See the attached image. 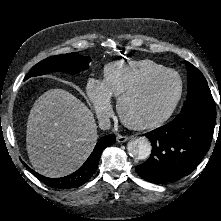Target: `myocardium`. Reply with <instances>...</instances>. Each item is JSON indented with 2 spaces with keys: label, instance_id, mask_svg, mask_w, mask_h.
Instances as JSON below:
<instances>
[{
  "label": "myocardium",
  "instance_id": "obj_1",
  "mask_svg": "<svg viewBox=\"0 0 221 221\" xmlns=\"http://www.w3.org/2000/svg\"><path fill=\"white\" fill-rule=\"evenodd\" d=\"M168 74H172L176 76L178 83H179L177 95L172 101V103L170 104V106L160 115L154 118L148 119V120L137 121V120H133L132 118H130L125 111L126 103L130 99L134 98L135 96L145 91L154 81ZM183 91H184L183 79L177 71L166 68L164 70L153 73L149 75L148 77H146L141 82H139L137 85L133 86L132 88L124 92L118 98L117 111H118L119 117L125 125H127L129 128L134 129V130H145V129L158 127L162 125L163 123H165L172 116V114L174 113V111L176 110L177 106L179 105L181 101Z\"/></svg>",
  "mask_w": 221,
  "mask_h": 221
}]
</instances>
